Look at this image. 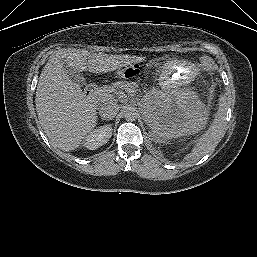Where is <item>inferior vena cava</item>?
<instances>
[{
  "label": "inferior vena cava",
  "mask_w": 257,
  "mask_h": 257,
  "mask_svg": "<svg viewBox=\"0 0 257 257\" xmlns=\"http://www.w3.org/2000/svg\"><path fill=\"white\" fill-rule=\"evenodd\" d=\"M119 105L114 103V102H108L106 104H104L103 106H101L100 110H99V114L103 117V118H107V119H112L114 118L117 113L119 112Z\"/></svg>",
  "instance_id": "602c4592"
}]
</instances>
